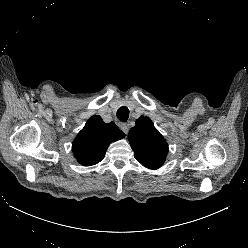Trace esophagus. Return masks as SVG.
<instances>
[{"label": "esophagus", "mask_w": 248, "mask_h": 248, "mask_svg": "<svg viewBox=\"0 0 248 248\" xmlns=\"http://www.w3.org/2000/svg\"><path fill=\"white\" fill-rule=\"evenodd\" d=\"M120 129H121L125 134H128V132H129L128 124H121V125H120Z\"/></svg>", "instance_id": "obj_1"}]
</instances>
